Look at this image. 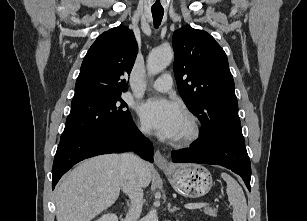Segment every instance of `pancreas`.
<instances>
[{
	"label": "pancreas",
	"mask_w": 307,
	"mask_h": 221,
	"mask_svg": "<svg viewBox=\"0 0 307 221\" xmlns=\"http://www.w3.org/2000/svg\"><path fill=\"white\" fill-rule=\"evenodd\" d=\"M204 213L209 215V216L216 217L217 216V209L216 208L205 207L204 208Z\"/></svg>",
	"instance_id": "pancreas-1"
}]
</instances>
